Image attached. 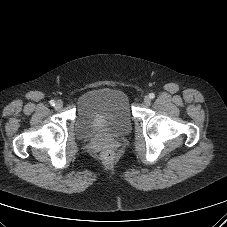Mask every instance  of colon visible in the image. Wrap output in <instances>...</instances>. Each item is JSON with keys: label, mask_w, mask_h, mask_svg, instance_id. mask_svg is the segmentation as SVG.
I'll use <instances>...</instances> for the list:
<instances>
[{"label": "colon", "mask_w": 227, "mask_h": 227, "mask_svg": "<svg viewBox=\"0 0 227 227\" xmlns=\"http://www.w3.org/2000/svg\"><path fill=\"white\" fill-rule=\"evenodd\" d=\"M113 157H114V154H113L112 151H110V150L104 151V153H103V159L105 161L110 162V161L113 160Z\"/></svg>", "instance_id": "1"}]
</instances>
